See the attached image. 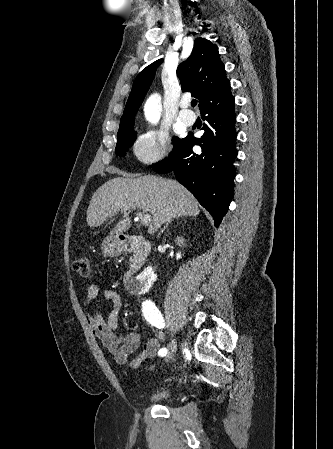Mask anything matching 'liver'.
Returning <instances> with one entry per match:
<instances>
[{"instance_id": "1", "label": "liver", "mask_w": 333, "mask_h": 449, "mask_svg": "<svg viewBox=\"0 0 333 449\" xmlns=\"http://www.w3.org/2000/svg\"><path fill=\"white\" fill-rule=\"evenodd\" d=\"M136 208L152 215L149 234L155 233L172 218L195 217L200 213L194 196L175 180L150 175L117 177L104 183L93 194L87 209V223L90 227H100L108 218L121 212L123 219L111 232L120 235L131 227L129 213Z\"/></svg>"}]
</instances>
